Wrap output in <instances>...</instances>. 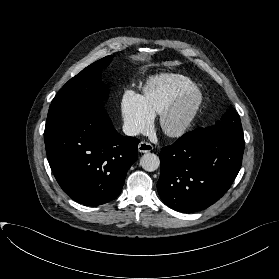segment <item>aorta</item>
<instances>
[{
  "label": "aorta",
  "instance_id": "aorta-1",
  "mask_svg": "<svg viewBox=\"0 0 279 279\" xmlns=\"http://www.w3.org/2000/svg\"><path fill=\"white\" fill-rule=\"evenodd\" d=\"M140 164L144 170L152 172L158 169L160 160L156 154L146 153L141 157Z\"/></svg>",
  "mask_w": 279,
  "mask_h": 279
}]
</instances>
